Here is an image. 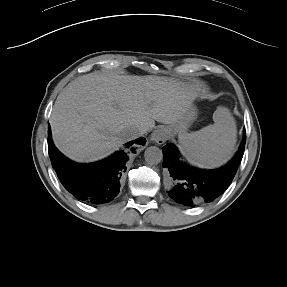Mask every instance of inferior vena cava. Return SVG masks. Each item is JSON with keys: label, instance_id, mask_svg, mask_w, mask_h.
<instances>
[{"label": "inferior vena cava", "instance_id": "1", "mask_svg": "<svg viewBox=\"0 0 287 287\" xmlns=\"http://www.w3.org/2000/svg\"><path fill=\"white\" fill-rule=\"evenodd\" d=\"M146 133V130L141 127L129 126L123 130V134L127 141L136 139Z\"/></svg>", "mask_w": 287, "mask_h": 287}]
</instances>
